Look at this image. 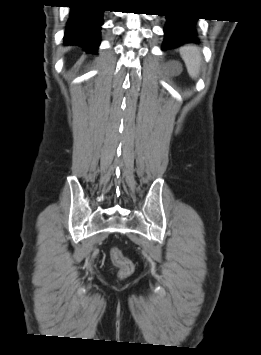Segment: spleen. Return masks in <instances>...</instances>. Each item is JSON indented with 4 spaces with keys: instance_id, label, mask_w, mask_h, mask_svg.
<instances>
[{
    "instance_id": "1",
    "label": "spleen",
    "mask_w": 261,
    "mask_h": 355,
    "mask_svg": "<svg viewBox=\"0 0 261 355\" xmlns=\"http://www.w3.org/2000/svg\"><path fill=\"white\" fill-rule=\"evenodd\" d=\"M180 55L185 62L190 77L195 79L199 74L202 60L200 49L195 45H186L180 48Z\"/></svg>"
}]
</instances>
